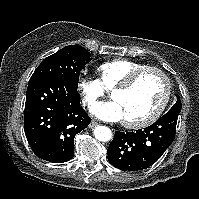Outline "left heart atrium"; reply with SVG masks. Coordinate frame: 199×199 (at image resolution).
<instances>
[{
    "label": "left heart atrium",
    "mask_w": 199,
    "mask_h": 199,
    "mask_svg": "<svg viewBox=\"0 0 199 199\" xmlns=\"http://www.w3.org/2000/svg\"><path fill=\"white\" fill-rule=\"evenodd\" d=\"M92 114L104 121L117 122L124 119V113L116 100L100 102L91 108Z\"/></svg>",
    "instance_id": "39dd6f15"
}]
</instances>
